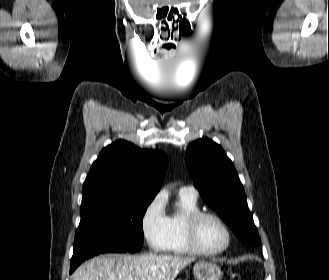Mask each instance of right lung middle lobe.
<instances>
[{"instance_id":"dd1d6c3e","label":"right lung middle lobe","mask_w":329,"mask_h":280,"mask_svg":"<svg viewBox=\"0 0 329 280\" xmlns=\"http://www.w3.org/2000/svg\"><path fill=\"white\" fill-rule=\"evenodd\" d=\"M153 199L122 196L82 206L70 270L97 254L139 251L144 239L142 219Z\"/></svg>"}]
</instances>
